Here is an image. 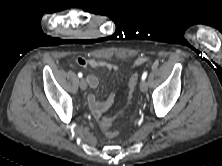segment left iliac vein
Listing matches in <instances>:
<instances>
[{"label":"left iliac vein","mask_w":222,"mask_h":166,"mask_svg":"<svg viewBox=\"0 0 222 166\" xmlns=\"http://www.w3.org/2000/svg\"><path fill=\"white\" fill-rule=\"evenodd\" d=\"M139 87H140V90H141L142 92H146L147 89H148V85H147V83H146L144 80H142V81L140 82Z\"/></svg>","instance_id":"obj_1"}]
</instances>
